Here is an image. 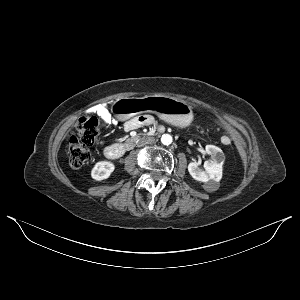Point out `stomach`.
I'll return each instance as SVG.
<instances>
[{"label":"stomach","mask_w":300,"mask_h":300,"mask_svg":"<svg viewBox=\"0 0 300 300\" xmlns=\"http://www.w3.org/2000/svg\"><path fill=\"white\" fill-rule=\"evenodd\" d=\"M114 116L127 120L139 113L152 112L162 120L178 126H187L192 122V107L184 101L165 96L130 97L115 101L111 108Z\"/></svg>","instance_id":"0dacf381"}]
</instances>
